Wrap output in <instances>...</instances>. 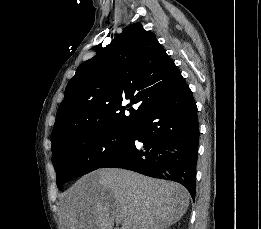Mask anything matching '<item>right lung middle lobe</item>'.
Listing matches in <instances>:
<instances>
[{
	"label": "right lung middle lobe",
	"mask_w": 261,
	"mask_h": 229,
	"mask_svg": "<svg viewBox=\"0 0 261 229\" xmlns=\"http://www.w3.org/2000/svg\"><path fill=\"white\" fill-rule=\"evenodd\" d=\"M133 139V131L103 127L79 130L52 150L57 187L62 190L66 182L101 168L126 150Z\"/></svg>",
	"instance_id": "1"
}]
</instances>
